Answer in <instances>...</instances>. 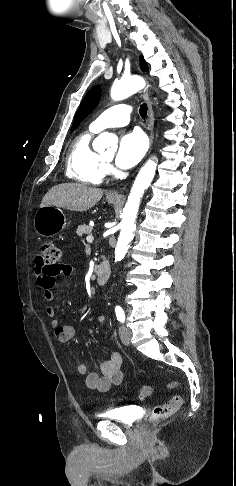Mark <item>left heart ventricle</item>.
Masks as SVG:
<instances>
[{"label": "left heart ventricle", "mask_w": 236, "mask_h": 486, "mask_svg": "<svg viewBox=\"0 0 236 486\" xmlns=\"http://www.w3.org/2000/svg\"><path fill=\"white\" fill-rule=\"evenodd\" d=\"M105 158L106 159H111V155H106Z\"/></svg>", "instance_id": "b2bd125f"}]
</instances>
